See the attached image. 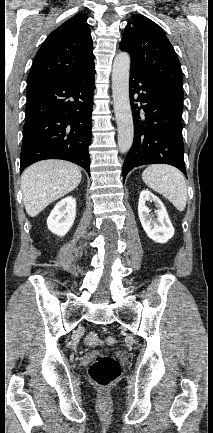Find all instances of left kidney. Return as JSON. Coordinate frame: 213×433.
Masks as SVG:
<instances>
[{
  "mask_svg": "<svg viewBox=\"0 0 213 433\" xmlns=\"http://www.w3.org/2000/svg\"><path fill=\"white\" fill-rule=\"evenodd\" d=\"M146 201H153L157 210V219H152L150 209L146 206ZM138 215L141 225L147 236L157 243H166L174 235V228L169 219L168 213L162 201L152 194L149 190L140 193L138 202Z\"/></svg>",
  "mask_w": 213,
  "mask_h": 433,
  "instance_id": "5707ae66",
  "label": "left kidney"
}]
</instances>
